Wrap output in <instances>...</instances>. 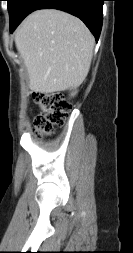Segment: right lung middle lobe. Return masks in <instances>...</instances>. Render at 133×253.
I'll use <instances>...</instances> for the list:
<instances>
[{
    "label": "right lung middle lobe",
    "mask_w": 133,
    "mask_h": 253,
    "mask_svg": "<svg viewBox=\"0 0 133 253\" xmlns=\"http://www.w3.org/2000/svg\"><path fill=\"white\" fill-rule=\"evenodd\" d=\"M8 2V11L10 16V28L18 21L20 17V8L25 0H6Z\"/></svg>",
    "instance_id": "right-lung-middle-lobe-1"
}]
</instances>
